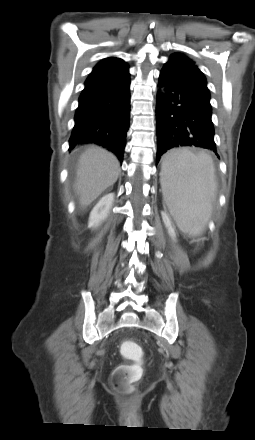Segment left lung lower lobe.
I'll return each mask as SVG.
<instances>
[{"label":"left lung lower lobe","instance_id":"obj_1","mask_svg":"<svg viewBox=\"0 0 255 440\" xmlns=\"http://www.w3.org/2000/svg\"><path fill=\"white\" fill-rule=\"evenodd\" d=\"M159 87H164L165 93L158 92L156 106V162L167 150L180 146L207 148L218 155L210 96L166 67L160 72Z\"/></svg>","mask_w":255,"mask_h":440}]
</instances>
